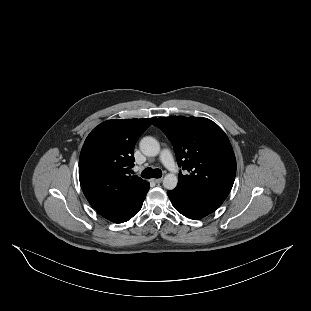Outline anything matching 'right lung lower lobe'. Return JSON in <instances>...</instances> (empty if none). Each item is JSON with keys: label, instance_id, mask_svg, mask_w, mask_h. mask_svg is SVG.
<instances>
[{"label": "right lung lower lobe", "instance_id": "98d812e1", "mask_svg": "<svg viewBox=\"0 0 311 311\" xmlns=\"http://www.w3.org/2000/svg\"><path fill=\"white\" fill-rule=\"evenodd\" d=\"M150 187V186H149ZM149 187L147 188V191L145 194L137 201V203L133 206V208L128 212L127 216L124 218V220L120 221L119 223L125 222L132 218L135 214L138 213V211L141 209L144 199L146 198V194L149 190Z\"/></svg>", "mask_w": 311, "mask_h": 311}]
</instances>
